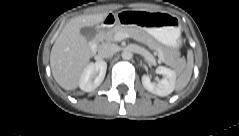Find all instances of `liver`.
<instances>
[{
	"label": "liver",
	"mask_w": 239,
	"mask_h": 136,
	"mask_svg": "<svg viewBox=\"0 0 239 136\" xmlns=\"http://www.w3.org/2000/svg\"><path fill=\"white\" fill-rule=\"evenodd\" d=\"M107 13L81 15L72 18L62 29L50 54L54 79L65 90H75L80 76L93 55L91 46L80 30L102 22Z\"/></svg>",
	"instance_id": "1"
}]
</instances>
